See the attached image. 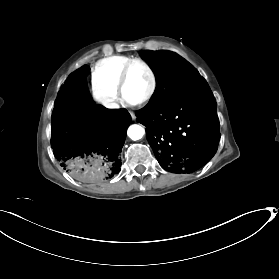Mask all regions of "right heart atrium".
I'll list each match as a JSON object with an SVG mask.
<instances>
[{"label":"right heart atrium","mask_w":279,"mask_h":279,"mask_svg":"<svg viewBox=\"0 0 279 279\" xmlns=\"http://www.w3.org/2000/svg\"><path fill=\"white\" fill-rule=\"evenodd\" d=\"M92 95L95 102L106 112H113L118 108V97L100 84H93Z\"/></svg>","instance_id":"d8ad5b80"}]
</instances>
